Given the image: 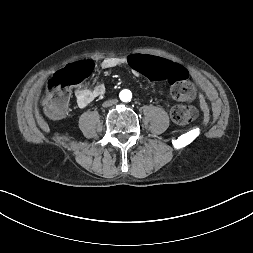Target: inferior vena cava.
I'll use <instances>...</instances> for the list:
<instances>
[{"label": "inferior vena cava", "mask_w": 253, "mask_h": 253, "mask_svg": "<svg viewBox=\"0 0 253 253\" xmlns=\"http://www.w3.org/2000/svg\"><path fill=\"white\" fill-rule=\"evenodd\" d=\"M117 104H118V99L112 98L111 100L104 102L103 106L108 107V106L117 105Z\"/></svg>", "instance_id": "1"}]
</instances>
